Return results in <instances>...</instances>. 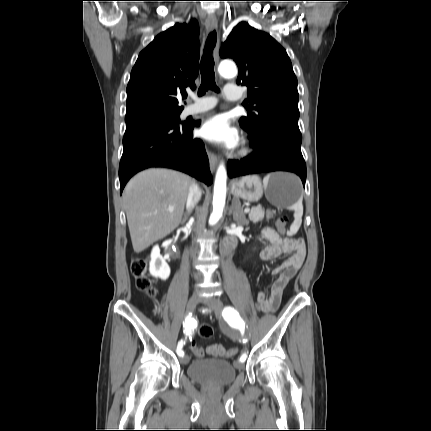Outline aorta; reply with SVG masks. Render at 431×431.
<instances>
[{
	"label": "aorta",
	"mask_w": 431,
	"mask_h": 431,
	"mask_svg": "<svg viewBox=\"0 0 431 431\" xmlns=\"http://www.w3.org/2000/svg\"><path fill=\"white\" fill-rule=\"evenodd\" d=\"M218 72L222 77L231 78L236 76V65L231 61H223L218 67ZM226 180L227 172L223 164L218 167L213 194V211L209 218V224L215 225L222 217L226 200Z\"/></svg>",
	"instance_id": "1"
}]
</instances>
